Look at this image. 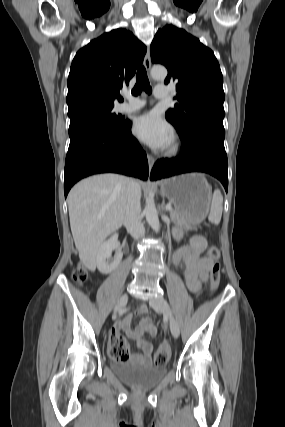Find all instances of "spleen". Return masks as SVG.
<instances>
[{
	"label": "spleen",
	"mask_w": 285,
	"mask_h": 427,
	"mask_svg": "<svg viewBox=\"0 0 285 427\" xmlns=\"http://www.w3.org/2000/svg\"><path fill=\"white\" fill-rule=\"evenodd\" d=\"M222 211H223V196L220 190L216 189L212 196L211 209H210V214L208 216V220L211 223L218 225L221 221Z\"/></svg>",
	"instance_id": "obj_1"
}]
</instances>
